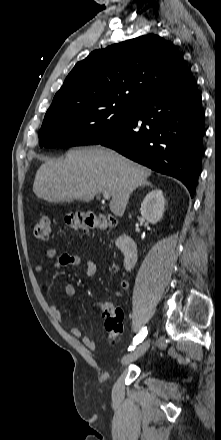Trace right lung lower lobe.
Masks as SVG:
<instances>
[{
	"mask_svg": "<svg viewBox=\"0 0 221 440\" xmlns=\"http://www.w3.org/2000/svg\"><path fill=\"white\" fill-rule=\"evenodd\" d=\"M204 130L201 95L191 80L137 104L128 120L100 144L179 179L193 197Z\"/></svg>",
	"mask_w": 221,
	"mask_h": 440,
	"instance_id": "1",
	"label": "right lung lower lobe"
}]
</instances>
